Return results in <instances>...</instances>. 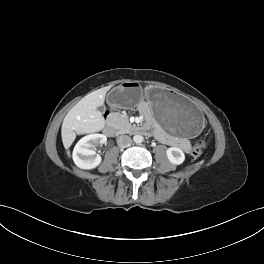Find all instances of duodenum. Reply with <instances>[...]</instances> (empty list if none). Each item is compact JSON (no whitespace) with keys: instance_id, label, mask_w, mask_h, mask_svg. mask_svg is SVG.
I'll return each mask as SVG.
<instances>
[{"instance_id":"duodenum-1","label":"duodenum","mask_w":264,"mask_h":264,"mask_svg":"<svg viewBox=\"0 0 264 264\" xmlns=\"http://www.w3.org/2000/svg\"><path fill=\"white\" fill-rule=\"evenodd\" d=\"M128 131L132 134H143V133H148L149 129L147 127L132 126L128 129ZM104 132L108 136H113L116 134V128L111 121L106 122L104 127Z\"/></svg>"}]
</instances>
